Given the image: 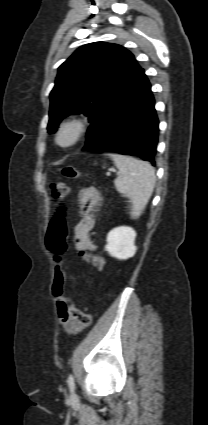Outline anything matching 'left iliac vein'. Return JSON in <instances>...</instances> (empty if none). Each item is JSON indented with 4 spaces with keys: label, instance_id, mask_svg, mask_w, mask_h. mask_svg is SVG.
<instances>
[{
    "label": "left iliac vein",
    "instance_id": "1",
    "mask_svg": "<svg viewBox=\"0 0 208 425\" xmlns=\"http://www.w3.org/2000/svg\"><path fill=\"white\" fill-rule=\"evenodd\" d=\"M72 397H75V394H72Z\"/></svg>",
    "mask_w": 208,
    "mask_h": 425
}]
</instances>
